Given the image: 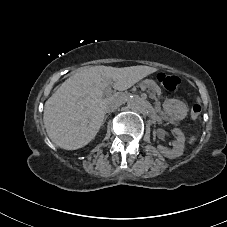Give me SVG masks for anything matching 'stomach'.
<instances>
[{"mask_svg":"<svg viewBox=\"0 0 227 227\" xmlns=\"http://www.w3.org/2000/svg\"><path fill=\"white\" fill-rule=\"evenodd\" d=\"M163 109L165 113L173 120H182L187 115L186 105L176 99H167L163 103Z\"/></svg>","mask_w":227,"mask_h":227,"instance_id":"obj_1","label":"stomach"}]
</instances>
